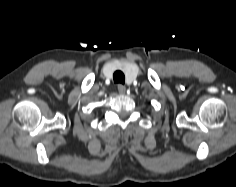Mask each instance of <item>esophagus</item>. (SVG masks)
<instances>
[{
    "mask_svg": "<svg viewBox=\"0 0 236 187\" xmlns=\"http://www.w3.org/2000/svg\"><path fill=\"white\" fill-rule=\"evenodd\" d=\"M118 91H119L120 94H125L126 87L124 85H122V84H119L118 85Z\"/></svg>",
    "mask_w": 236,
    "mask_h": 187,
    "instance_id": "obj_1",
    "label": "esophagus"
}]
</instances>
